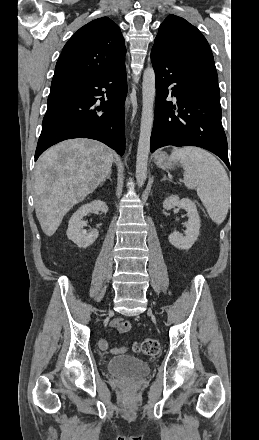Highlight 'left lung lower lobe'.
I'll return each instance as SVG.
<instances>
[{"mask_svg":"<svg viewBox=\"0 0 259 440\" xmlns=\"http://www.w3.org/2000/svg\"><path fill=\"white\" fill-rule=\"evenodd\" d=\"M151 61L156 76L151 152L166 145L197 146L219 156L230 169L216 70L180 63L158 49H152ZM169 90L177 98V106L166 101Z\"/></svg>","mask_w":259,"mask_h":440,"instance_id":"obj_1","label":"left lung lower lobe"}]
</instances>
